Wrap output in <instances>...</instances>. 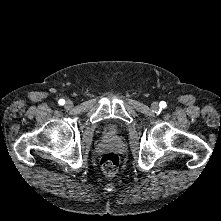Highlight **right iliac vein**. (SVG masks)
<instances>
[{
  "label": "right iliac vein",
  "mask_w": 221,
  "mask_h": 221,
  "mask_svg": "<svg viewBox=\"0 0 221 221\" xmlns=\"http://www.w3.org/2000/svg\"><path fill=\"white\" fill-rule=\"evenodd\" d=\"M73 107V102L71 100H67L65 103L66 109H71Z\"/></svg>",
  "instance_id": "right-iliac-vein-1"
}]
</instances>
